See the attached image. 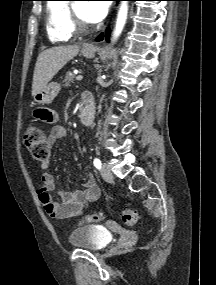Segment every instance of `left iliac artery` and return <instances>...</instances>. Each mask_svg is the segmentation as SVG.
<instances>
[{
  "mask_svg": "<svg viewBox=\"0 0 216 285\" xmlns=\"http://www.w3.org/2000/svg\"><path fill=\"white\" fill-rule=\"evenodd\" d=\"M93 163H94V166H95L97 169H100V168H101L102 163H101L100 159L95 158Z\"/></svg>",
  "mask_w": 216,
  "mask_h": 285,
  "instance_id": "44dca946",
  "label": "left iliac artery"
}]
</instances>
